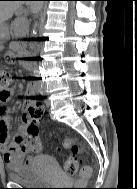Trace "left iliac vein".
Listing matches in <instances>:
<instances>
[{
	"label": "left iliac vein",
	"instance_id": "left-iliac-vein-1",
	"mask_svg": "<svg viewBox=\"0 0 137 189\" xmlns=\"http://www.w3.org/2000/svg\"><path fill=\"white\" fill-rule=\"evenodd\" d=\"M43 93L45 94V90H43ZM45 105H46L47 107L50 106V100H49V99H46V100H45Z\"/></svg>",
	"mask_w": 137,
	"mask_h": 189
}]
</instances>
